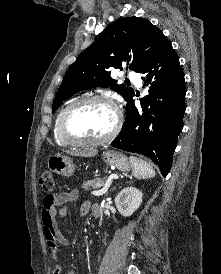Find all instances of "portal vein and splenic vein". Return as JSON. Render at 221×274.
Masks as SVG:
<instances>
[{
	"mask_svg": "<svg viewBox=\"0 0 221 274\" xmlns=\"http://www.w3.org/2000/svg\"><path fill=\"white\" fill-rule=\"evenodd\" d=\"M113 179H118V175L112 174L108 178V180H107L106 184L104 185V187L102 189H100V190L92 191V194L95 195V196H101L104 193H106L107 190H108V188L110 187V184H111V182H112Z\"/></svg>",
	"mask_w": 221,
	"mask_h": 274,
	"instance_id": "portal-vein-and-splenic-vein-1",
	"label": "portal vein and splenic vein"
}]
</instances>
